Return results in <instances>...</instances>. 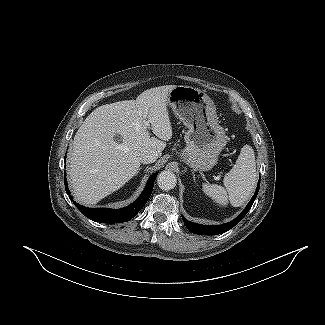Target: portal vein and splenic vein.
<instances>
[{
    "instance_id": "portal-vein-and-splenic-vein-1",
    "label": "portal vein and splenic vein",
    "mask_w": 325,
    "mask_h": 325,
    "mask_svg": "<svg viewBox=\"0 0 325 325\" xmlns=\"http://www.w3.org/2000/svg\"><path fill=\"white\" fill-rule=\"evenodd\" d=\"M143 122H144V126H145V128H149L150 124H149L148 121L145 120V118H144V121H143Z\"/></svg>"
}]
</instances>
